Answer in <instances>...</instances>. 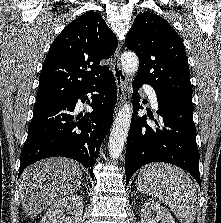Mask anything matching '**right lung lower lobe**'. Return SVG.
I'll return each mask as SVG.
<instances>
[{"mask_svg": "<svg viewBox=\"0 0 221 223\" xmlns=\"http://www.w3.org/2000/svg\"><path fill=\"white\" fill-rule=\"evenodd\" d=\"M88 92H97L92 95L90 104L93 111L75 115L73 112L79 99L83 103L90 102ZM116 98L115 79L109 71L72 96L34 108L28 137L21 150L19 176L38 160L61 156L77 160L93 177L96 155L112 124Z\"/></svg>", "mask_w": 221, "mask_h": 223, "instance_id": "right-lung-lower-lobe-1", "label": "right lung lower lobe"}]
</instances>
